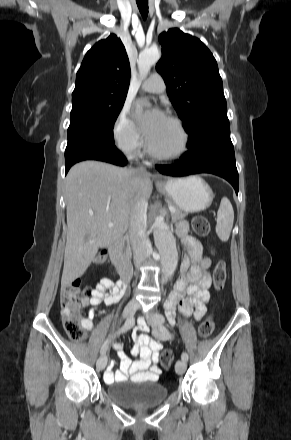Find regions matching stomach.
Here are the masks:
<instances>
[{
  "mask_svg": "<svg viewBox=\"0 0 291 440\" xmlns=\"http://www.w3.org/2000/svg\"><path fill=\"white\" fill-rule=\"evenodd\" d=\"M157 189L180 210L190 213L207 209L214 198L211 187L199 176L169 179Z\"/></svg>",
  "mask_w": 291,
  "mask_h": 440,
  "instance_id": "obj_1",
  "label": "stomach"
}]
</instances>
